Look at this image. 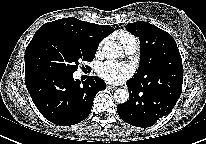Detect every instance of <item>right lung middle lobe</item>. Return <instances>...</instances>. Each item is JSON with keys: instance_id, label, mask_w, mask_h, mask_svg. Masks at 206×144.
I'll return each instance as SVG.
<instances>
[{"instance_id": "obj_1", "label": "right lung middle lobe", "mask_w": 206, "mask_h": 144, "mask_svg": "<svg viewBox=\"0 0 206 144\" xmlns=\"http://www.w3.org/2000/svg\"><path fill=\"white\" fill-rule=\"evenodd\" d=\"M97 47L89 46L65 36L35 34L25 52V72L51 70L73 74L79 62L92 61Z\"/></svg>"}]
</instances>
